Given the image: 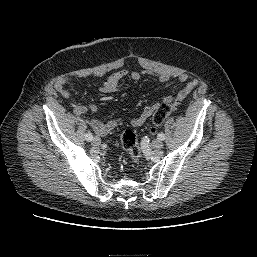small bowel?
I'll return each instance as SVG.
<instances>
[{
    "mask_svg": "<svg viewBox=\"0 0 257 257\" xmlns=\"http://www.w3.org/2000/svg\"><path fill=\"white\" fill-rule=\"evenodd\" d=\"M153 74L155 75L160 82H167L172 77L169 73L165 71H129L126 69H122L119 71L114 72L111 74L101 85V91L103 93H114L120 90L121 82L126 78L130 77L132 81H138L142 75L144 74ZM178 81L183 84V88L177 93V98L184 99L195 87L196 81L195 79L188 75V74H181L178 76ZM74 82L73 78H65L59 82L56 83L55 87L56 89L61 92L64 96H68L69 92L65 89L66 86L71 85ZM173 100V97L170 95H166L163 97L164 103H170ZM159 106V103H149L145 106L142 113L134 118L131 121V124L134 127H140L142 126L146 120L155 112L157 107ZM88 111H91L93 113L97 112V107L95 105H91L89 108L77 104L75 106L74 112L77 116H80L85 119V122L87 125L95 132L98 136H104L108 134L110 131H112L118 124L117 119H110L106 122H101L98 119L95 118H86V114Z\"/></svg>",
    "mask_w": 257,
    "mask_h": 257,
    "instance_id": "small-bowel-1",
    "label": "small bowel"
}]
</instances>
